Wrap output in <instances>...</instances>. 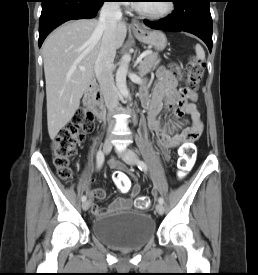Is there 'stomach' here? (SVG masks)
<instances>
[{"label": "stomach", "instance_id": "stomach-1", "mask_svg": "<svg viewBox=\"0 0 258 275\" xmlns=\"http://www.w3.org/2000/svg\"><path fill=\"white\" fill-rule=\"evenodd\" d=\"M133 33L140 42L153 47L155 51H162L167 45L165 34L159 30L142 29Z\"/></svg>", "mask_w": 258, "mask_h": 275}]
</instances>
